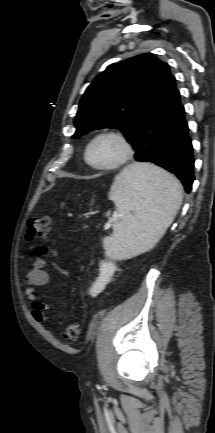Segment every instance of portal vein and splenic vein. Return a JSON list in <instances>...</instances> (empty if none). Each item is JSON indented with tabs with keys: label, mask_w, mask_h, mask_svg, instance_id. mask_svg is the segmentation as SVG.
Here are the masks:
<instances>
[{
	"label": "portal vein and splenic vein",
	"mask_w": 215,
	"mask_h": 433,
	"mask_svg": "<svg viewBox=\"0 0 215 433\" xmlns=\"http://www.w3.org/2000/svg\"><path fill=\"white\" fill-rule=\"evenodd\" d=\"M111 227V223H107L106 228H110Z\"/></svg>",
	"instance_id": "18ae733b"
}]
</instances>
